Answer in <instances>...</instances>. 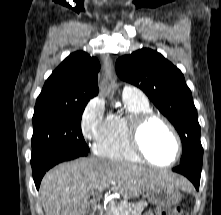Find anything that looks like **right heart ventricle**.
Here are the masks:
<instances>
[{
    "instance_id": "e07e8e85",
    "label": "right heart ventricle",
    "mask_w": 221,
    "mask_h": 215,
    "mask_svg": "<svg viewBox=\"0 0 221 215\" xmlns=\"http://www.w3.org/2000/svg\"><path fill=\"white\" fill-rule=\"evenodd\" d=\"M125 112L110 114L105 120L103 130L95 141L94 150L102 157L120 162H140L141 159L131 149L127 137L129 119L141 112L151 110L147 98L123 96Z\"/></svg>"
}]
</instances>
